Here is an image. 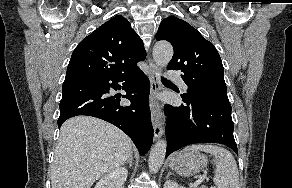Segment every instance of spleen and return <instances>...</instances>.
<instances>
[{
    "mask_svg": "<svg viewBox=\"0 0 292 188\" xmlns=\"http://www.w3.org/2000/svg\"><path fill=\"white\" fill-rule=\"evenodd\" d=\"M205 151L214 155L216 164L214 183L218 188H239V173L233 155L223 147L212 144H195L183 151Z\"/></svg>",
    "mask_w": 292,
    "mask_h": 188,
    "instance_id": "spleen-1",
    "label": "spleen"
}]
</instances>
